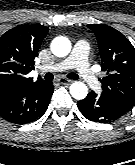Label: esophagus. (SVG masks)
<instances>
[{"instance_id":"esophagus-1","label":"esophagus","mask_w":135,"mask_h":165,"mask_svg":"<svg viewBox=\"0 0 135 165\" xmlns=\"http://www.w3.org/2000/svg\"><path fill=\"white\" fill-rule=\"evenodd\" d=\"M58 81L61 84H67V85H69V84H71L73 82L72 80L64 78V77L59 78Z\"/></svg>"}]
</instances>
